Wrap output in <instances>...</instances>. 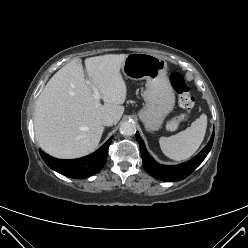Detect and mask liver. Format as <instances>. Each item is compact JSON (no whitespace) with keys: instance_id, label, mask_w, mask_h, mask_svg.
Returning a JSON list of instances; mask_svg holds the SVG:
<instances>
[{"instance_id":"obj_1","label":"liver","mask_w":248,"mask_h":248,"mask_svg":"<svg viewBox=\"0 0 248 248\" xmlns=\"http://www.w3.org/2000/svg\"><path fill=\"white\" fill-rule=\"evenodd\" d=\"M126 57L111 54L85 59L89 81L100 92L104 105L95 101L80 58L54 74L35 106V137L43 151L72 159L97 148L104 131L103 117L111 116L117 123L124 112L127 88L120 69Z\"/></svg>"}]
</instances>
